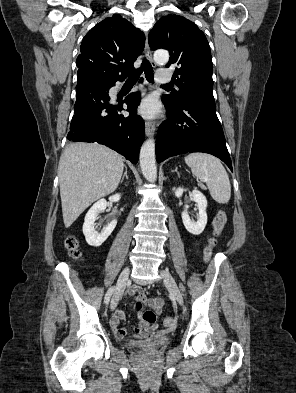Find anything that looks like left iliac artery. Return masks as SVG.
Masks as SVG:
<instances>
[{"mask_svg":"<svg viewBox=\"0 0 296 393\" xmlns=\"http://www.w3.org/2000/svg\"><path fill=\"white\" fill-rule=\"evenodd\" d=\"M180 287H181L182 291L185 292V287L183 286V284H180Z\"/></svg>","mask_w":296,"mask_h":393,"instance_id":"obj_1","label":"left iliac artery"}]
</instances>
